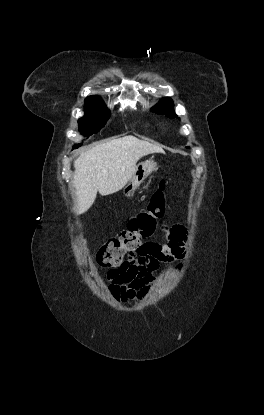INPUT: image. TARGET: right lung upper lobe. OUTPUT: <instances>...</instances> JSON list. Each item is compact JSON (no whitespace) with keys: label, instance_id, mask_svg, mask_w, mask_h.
I'll list each match as a JSON object with an SVG mask.
<instances>
[{"label":"right lung upper lobe","instance_id":"obj_1","mask_svg":"<svg viewBox=\"0 0 264 415\" xmlns=\"http://www.w3.org/2000/svg\"><path fill=\"white\" fill-rule=\"evenodd\" d=\"M94 99H100L98 96H89L85 100H94Z\"/></svg>","mask_w":264,"mask_h":415}]
</instances>
